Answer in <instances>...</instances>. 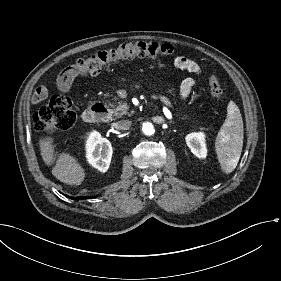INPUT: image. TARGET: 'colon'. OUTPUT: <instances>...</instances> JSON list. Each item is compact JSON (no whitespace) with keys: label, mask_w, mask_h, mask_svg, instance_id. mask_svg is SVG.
<instances>
[{"label":"colon","mask_w":281,"mask_h":281,"mask_svg":"<svg viewBox=\"0 0 281 281\" xmlns=\"http://www.w3.org/2000/svg\"><path fill=\"white\" fill-rule=\"evenodd\" d=\"M175 53L172 46L156 42H128L110 50L80 58L74 65L73 71L77 75H95L111 65L137 57L163 59ZM209 86L212 94L217 98L223 97V89L219 80L211 75ZM76 115L72 109L71 100L65 95H54L35 114V128L42 133L55 134L71 129Z\"/></svg>","instance_id":"colon-1"}]
</instances>
